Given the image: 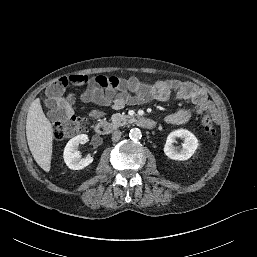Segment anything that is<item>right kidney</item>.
Masks as SVG:
<instances>
[{"instance_id": "right-kidney-1", "label": "right kidney", "mask_w": 257, "mask_h": 257, "mask_svg": "<svg viewBox=\"0 0 257 257\" xmlns=\"http://www.w3.org/2000/svg\"><path fill=\"white\" fill-rule=\"evenodd\" d=\"M89 141L86 134H80L68 141L64 148L63 158L66 165L72 170H81L93 162V157L87 156L82 158L78 152L80 143Z\"/></svg>"}]
</instances>
